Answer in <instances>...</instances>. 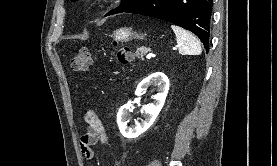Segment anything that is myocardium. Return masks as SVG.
Instances as JSON below:
<instances>
[{
    "label": "myocardium",
    "instance_id": "myocardium-1",
    "mask_svg": "<svg viewBox=\"0 0 277 166\" xmlns=\"http://www.w3.org/2000/svg\"><path fill=\"white\" fill-rule=\"evenodd\" d=\"M101 2H109V1H111V0H100Z\"/></svg>",
    "mask_w": 277,
    "mask_h": 166
}]
</instances>
